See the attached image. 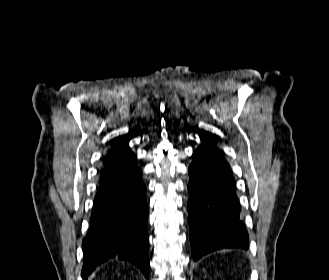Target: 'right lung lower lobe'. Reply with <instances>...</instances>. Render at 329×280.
<instances>
[{"instance_id": "1", "label": "right lung lower lobe", "mask_w": 329, "mask_h": 280, "mask_svg": "<svg viewBox=\"0 0 329 280\" xmlns=\"http://www.w3.org/2000/svg\"><path fill=\"white\" fill-rule=\"evenodd\" d=\"M146 186L135 163L105 167L93 203L91 227L83 240L81 277L97 266L121 259L149 276Z\"/></svg>"}]
</instances>
